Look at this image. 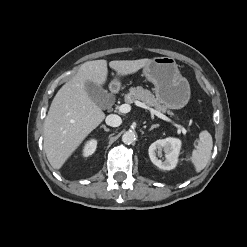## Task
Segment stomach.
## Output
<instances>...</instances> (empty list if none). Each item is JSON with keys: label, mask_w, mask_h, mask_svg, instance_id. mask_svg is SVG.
<instances>
[{"label": "stomach", "mask_w": 247, "mask_h": 247, "mask_svg": "<svg viewBox=\"0 0 247 247\" xmlns=\"http://www.w3.org/2000/svg\"><path fill=\"white\" fill-rule=\"evenodd\" d=\"M143 73L153 85L157 98L170 109H181L189 102L191 91L186 78L171 57H155L143 67ZM113 85L118 86L117 79Z\"/></svg>", "instance_id": "1"}]
</instances>
